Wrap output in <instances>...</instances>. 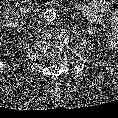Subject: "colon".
<instances>
[{"mask_svg": "<svg viewBox=\"0 0 118 118\" xmlns=\"http://www.w3.org/2000/svg\"><path fill=\"white\" fill-rule=\"evenodd\" d=\"M26 11V6L21 0H12L8 4L7 9L4 13L3 22L5 26L16 25L23 17Z\"/></svg>", "mask_w": 118, "mask_h": 118, "instance_id": "obj_1", "label": "colon"}]
</instances>
